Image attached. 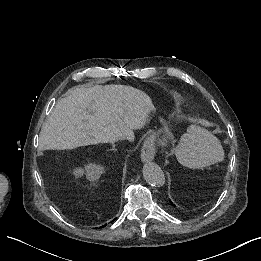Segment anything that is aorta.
<instances>
[{
	"label": "aorta",
	"mask_w": 261,
	"mask_h": 261,
	"mask_svg": "<svg viewBox=\"0 0 261 261\" xmlns=\"http://www.w3.org/2000/svg\"><path fill=\"white\" fill-rule=\"evenodd\" d=\"M142 172L144 179L151 186L161 187L165 184V175L156 163H146L143 166Z\"/></svg>",
	"instance_id": "obj_1"
}]
</instances>
